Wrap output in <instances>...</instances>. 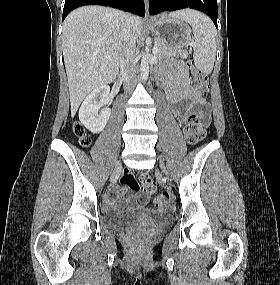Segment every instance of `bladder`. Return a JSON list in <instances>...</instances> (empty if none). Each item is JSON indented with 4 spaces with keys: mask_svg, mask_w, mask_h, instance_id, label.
Returning <instances> with one entry per match:
<instances>
[{
    "mask_svg": "<svg viewBox=\"0 0 280 285\" xmlns=\"http://www.w3.org/2000/svg\"><path fill=\"white\" fill-rule=\"evenodd\" d=\"M105 225L116 231H124L139 223L142 219L151 220L155 225L161 226L166 222L162 213L153 210H144L140 213L108 212L103 214Z\"/></svg>",
    "mask_w": 280,
    "mask_h": 285,
    "instance_id": "1",
    "label": "bladder"
}]
</instances>
